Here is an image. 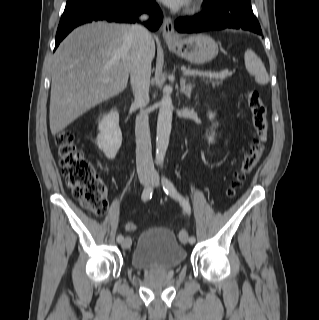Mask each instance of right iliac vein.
Returning <instances> with one entry per match:
<instances>
[{
  "label": "right iliac vein",
  "instance_id": "63e3f726",
  "mask_svg": "<svg viewBox=\"0 0 319 320\" xmlns=\"http://www.w3.org/2000/svg\"><path fill=\"white\" fill-rule=\"evenodd\" d=\"M149 181H150V179H149L148 177H143V178L141 179V183H142L143 185H147V184L149 183ZM121 246H122L123 249H128V248H130V246H131V238L128 237V236L125 237V239L122 241Z\"/></svg>",
  "mask_w": 319,
  "mask_h": 320
}]
</instances>
